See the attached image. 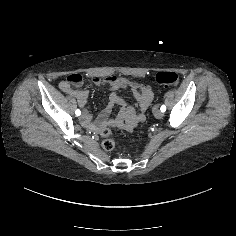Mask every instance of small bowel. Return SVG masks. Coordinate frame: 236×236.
<instances>
[{"instance_id": "small-bowel-1", "label": "small bowel", "mask_w": 236, "mask_h": 236, "mask_svg": "<svg viewBox=\"0 0 236 236\" xmlns=\"http://www.w3.org/2000/svg\"><path fill=\"white\" fill-rule=\"evenodd\" d=\"M103 82H104L103 79H95V83H96L97 85H100V84H102ZM60 87H61V89H62L64 92H66V93H68V94H70V95H71L72 93H77V94L83 96V97L85 98V100H84V102L80 103V105H84V104H85L86 97H87V92H86V91H76V90H74V89L71 87V85L67 82V80H66V81H62V82L60 83ZM144 93H145L146 96H147V103L141 108L142 111H144V110L147 108V106L149 105V103H150L151 100H152V93H151V91H150L149 89H145V90H144ZM86 119H87V120L90 119V116H89L88 114L86 115Z\"/></svg>"}]
</instances>
